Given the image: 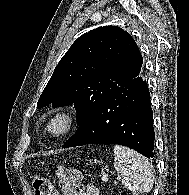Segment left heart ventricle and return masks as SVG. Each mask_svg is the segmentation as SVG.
<instances>
[{"instance_id":"b2bd125f","label":"left heart ventricle","mask_w":189,"mask_h":195,"mask_svg":"<svg viewBox=\"0 0 189 195\" xmlns=\"http://www.w3.org/2000/svg\"><path fill=\"white\" fill-rule=\"evenodd\" d=\"M62 126H63L62 120H57L56 122L53 123L52 129L54 131H59L62 128Z\"/></svg>"}]
</instances>
